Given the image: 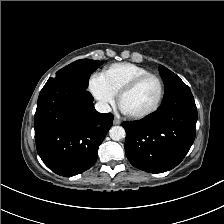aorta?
<instances>
[{"instance_id":"762f6f07","label":"aorta","mask_w":224,"mask_h":224,"mask_svg":"<svg viewBox=\"0 0 224 224\" xmlns=\"http://www.w3.org/2000/svg\"><path fill=\"white\" fill-rule=\"evenodd\" d=\"M125 130L121 126H113L109 130L110 138L114 141H120L121 139L125 138Z\"/></svg>"}]
</instances>
